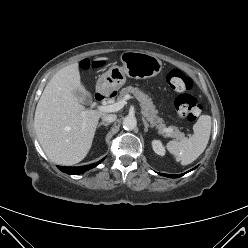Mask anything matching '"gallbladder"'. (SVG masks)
Listing matches in <instances>:
<instances>
[{"mask_svg": "<svg viewBox=\"0 0 248 248\" xmlns=\"http://www.w3.org/2000/svg\"><path fill=\"white\" fill-rule=\"evenodd\" d=\"M77 95L78 96H81V94L78 93V92H77ZM85 103H87V104H91L92 103V97H91V95L89 93L86 95Z\"/></svg>", "mask_w": 248, "mask_h": 248, "instance_id": "obj_1", "label": "gallbladder"}]
</instances>
